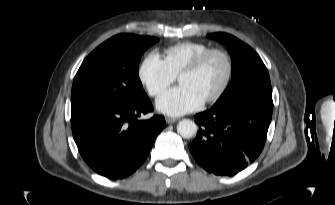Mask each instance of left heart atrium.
<instances>
[{
    "label": "left heart atrium",
    "instance_id": "1",
    "mask_svg": "<svg viewBox=\"0 0 335 205\" xmlns=\"http://www.w3.org/2000/svg\"><path fill=\"white\" fill-rule=\"evenodd\" d=\"M204 100L191 88L180 85L165 91L156 101L157 109L170 116H180L202 106Z\"/></svg>",
    "mask_w": 335,
    "mask_h": 205
}]
</instances>
